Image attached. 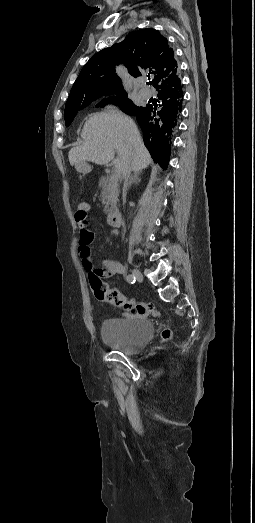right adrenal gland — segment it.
I'll return each instance as SVG.
<instances>
[{
	"label": "right adrenal gland",
	"instance_id": "2a0ac1e0",
	"mask_svg": "<svg viewBox=\"0 0 255 523\" xmlns=\"http://www.w3.org/2000/svg\"><path fill=\"white\" fill-rule=\"evenodd\" d=\"M138 182H141L139 178V172H135L134 176H131L128 184H127V190L131 188L132 184H138Z\"/></svg>",
	"mask_w": 255,
	"mask_h": 523
}]
</instances>
